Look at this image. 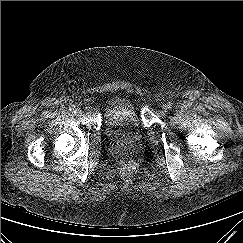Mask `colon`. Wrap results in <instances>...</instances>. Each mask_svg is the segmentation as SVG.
I'll use <instances>...</instances> for the list:
<instances>
[{"label":"colon","instance_id":"colon-1","mask_svg":"<svg viewBox=\"0 0 243 243\" xmlns=\"http://www.w3.org/2000/svg\"><path fill=\"white\" fill-rule=\"evenodd\" d=\"M124 170L131 171L135 168V162L130 158H124L121 161Z\"/></svg>","mask_w":243,"mask_h":243}]
</instances>
